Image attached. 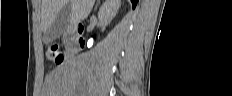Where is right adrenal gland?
Wrapping results in <instances>:
<instances>
[{
  "label": "right adrenal gland",
  "mask_w": 232,
  "mask_h": 96,
  "mask_svg": "<svg viewBox=\"0 0 232 96\" xmlns=\"http://www.w3.org/2000/svg\"><path fill=\"white\" fill-rule=\"evenodd\" d=\"M97 5H96V7H95V9H97V7H98V4L100 3V0H97Z\"/></svg>",
  "instance_id": "1"
}]
</instances>
